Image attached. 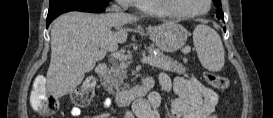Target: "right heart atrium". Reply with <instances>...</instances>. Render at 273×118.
Returning a JSON list of instances; mask_svg holds the SVG:
<instances>
[{"mask_svg": "<svg viewBox=\"0 0 273 118\" xmlns=\"http://www.w3.org/2000/svg\"><path fill=\"white\" fill-rule=\"evenodd\" d=\"M118 3L123 9L132 8L135 6V0H119Z\"/></svg>", "mask_w": 273, "mask_h": 118, "instance_id": "right-heart-atrium-1", "label": "right heart atrium"}]
</instances>
